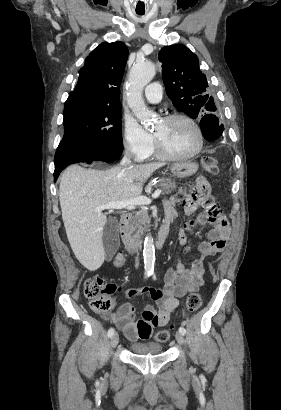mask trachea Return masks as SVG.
Masks as SVG:
<instances>
[{"label": "trachea", "instance_id": "trachea-1", "mask_svg": "<svg viewBox=\"0 0 281 410\" xmlns=\"http://www.w3.org/2000/svg\"><path fill=\"white\" fill-rule=\"evenodd\" d=\"M138 15H144V13H137Z\"/></svg>", "mask_w": 281, "mask_h": 410}]
</instances>
